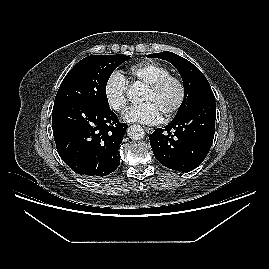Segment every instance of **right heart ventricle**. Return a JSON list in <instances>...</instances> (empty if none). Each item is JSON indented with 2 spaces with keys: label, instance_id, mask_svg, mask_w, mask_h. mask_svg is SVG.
<instances>
[{
  "label": "right heart ventricle",
  "instance_id": "obj_1",
  "mask_svg": "<svg viewBox=\"0 0 269 269\" xmlns=\"http://www.w3.org/2000/svg\"><path fill=\"white\" fill-rule=\"evenodd\" d=\"M169 74H171V70L166 65L155 61H146L134 65L129 70L131 81L147 86Z\"/></svg>",
  "mask_w": 269,
  "mask_h": 269
}]
</instances>
